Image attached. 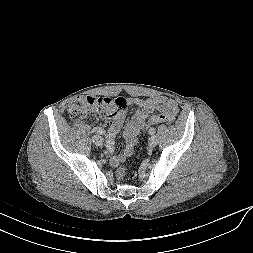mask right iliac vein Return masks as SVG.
I'll list each match as a JSON object with an SVG mask.
<instances>
[{
	"label": "right iliac vein",
	"instance_id": "63e3f726",
	"mask_svg": "<svg viewBox=\"0 0 253 253\" xmlns=\"http://www.w3.org/2000/svg\"><path fill=\"white\" fill-rule=\"evenodd\" d=\"M93 143L97 146H102L103 145V139L101 136L99 135H94L92 137Z\"/></svg>",
	"mask_w": 253,
	"mask_h": 253
}]
</instances>
